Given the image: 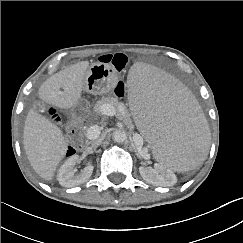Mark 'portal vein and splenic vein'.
I'll use <instances>...</instances> for the list:
<instances>
[{
  "mask_svg": "<svg viewBox=\"0 0 243 243\" xmlns=\"http://www.w3.org/2000/svg\"><path fill=\"white\" fill-rule=\"evenodd\" d=\"M103 113L105 115H108V116H115L116 115V111L115 109L110 106L109 104H106L103 106ZM99 130H98V127L97 126H91L88 130H87V133H86V136L91 139L93 137H96L98 134H99Z\"/></svg>",
  "mask_w": 243,
  "mask_h": 243,
  "instance_id": "18ae733b",
  "label": "portal vein and splenic vein"
}]
</instances>
